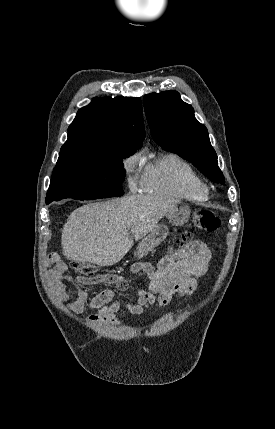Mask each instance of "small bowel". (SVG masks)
Instances as JSON below:
<instances>
[{"label": "small bowel", "instance_id": "small-bowel-1", "mask_svg": "<svg viewBox=\"0 0 275 429\" xmlns=\"http://www.w3.org/2000/svg\"><path fill=\"white\" fill-rule=\"evenodd\" d=\"M211 253L205 243L195 241L182 249L164 256L156 266L149 262L134 263L130 270L133 273H144L148 278V285L137 291V299L123 304L114 291L103 290L88 301V294L82 289L83 285L107 283L115 285L119 290L127 288V280L122 274L111 273L99 275L96 278H73L65 274L66 265L57 261L53 271L51 289L54 297L59 301H67L68 293L65 281L76 287L77 298L67 303L69 311L75 314L85 309L96 311L87 319L94 323L117 324L120 320L116 314L122 308L134 315L143 313L151 306L162 307L167 305L174 295L180 297L191 296L197 290L196 277L204 276L209 268Z\"/></svg>", "mask_w": 275, "mask_h": 429}]
</instances>
